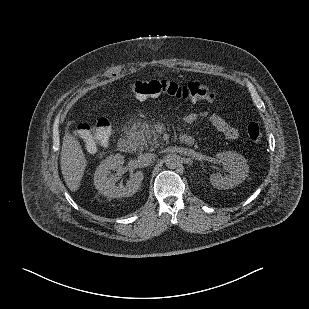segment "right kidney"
I'll return each instance as SVG.
<instances>
[{"label":"right kidney","mask_w":309,"mask_h":309,"mask_svg":"<svg viewBox=\"0 0 309 309\" xmlns=\"http://www.w3.org/2000/svg\"><path fill=\"white\" fill-rule=\"evenodd\" d=\"M123 163L124 156L115 154L103 160L97 167L94 174V185L101 194L112 198H122L130 197L138 191L144 178L142 171L132 174L126 185L116 184L117 174H111V171L119 172Z\"/></svg>","instance_id":"obj_1"}]
</instances>
